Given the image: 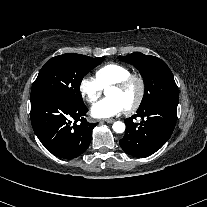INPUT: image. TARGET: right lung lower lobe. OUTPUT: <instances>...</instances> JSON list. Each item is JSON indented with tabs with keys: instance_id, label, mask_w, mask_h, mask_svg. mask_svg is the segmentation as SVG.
I'll return each instance as SVG.
<instances>
[{
	"instance_id": "obj_1",
	"label": "right lung lower lobe",
	"mask_w": 207,
	"mask_h": 207,
	"mask_svg": "<svg viewBox=\"0 0 207 207\" xmlns=\"http://www.w3.org/2000/svg\"><path fill=\"white\" fill-rule=\"evenodd\" d=\"M84 103H72L55 95L31 98V123L40 142L52 154L73 159L85 152L96 124L84 118Z\"/></svg>"
}]
</instances>
